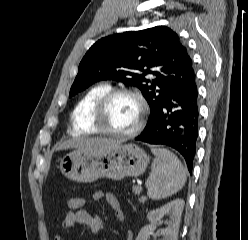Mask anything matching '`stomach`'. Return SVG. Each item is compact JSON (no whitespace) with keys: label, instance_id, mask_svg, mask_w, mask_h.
Instances as JSON below:
<instances>
[{"label":"stomach","instance_id":"0dacf381","mask_svg":"<svg viewBox=\"0 0 248 240\" xmlns=\"http://www.w3.org/2000/svg\"><path fill=\"white\" fill-rule=\"evenodd\" d=\"M149 164L145 151L136 144H117L95 151L75 150L65 155L60 170L67 178L90 183L106 177L121 180L141 175Z\"/></svg>","mask_w":248,"mask_h":240}]
</instances>
